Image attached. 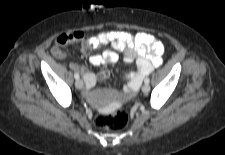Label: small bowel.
Segmentation results:
<instances>
[{
	"label": "small bowel",
	"instance_id": "small-bowel-1",
	"mask_svg": "<svg viewBox=\"0 0 225 155\" xmlns=\"http://www.w3.org/2000/svg\"><path fill=\"white\" fill-rule=\"evenodd\" d=\"M79 41L82 43L81 50L83 53L92 49H99L107 44L113 47V49L105 50L102 54L91 55L89 63L93 66L117 62L119 60L117 51L123 53L124 63L131 64L136 61L138 70L128 76V83L123 89L122 98L107 104L106 109L110 113L125 108L127 105L125 99L131 98L137 92L142 77L162 63L163 44L153 35L143 32L133 34L125 31H102L89 36L81 31H75L59 36L52 47V53L57 58H64L65 52L62 48L67 44ZM71 67L82 74L86 90L91 89L98 79H105L109 75L108 71H102L96 75L79 64L72 63ZM92 98L97 103L102 104L110 99V94L93 95Z\"/></svg>",
	"mask_w": 225,
	"mask_h": 155
}]
</instances>
